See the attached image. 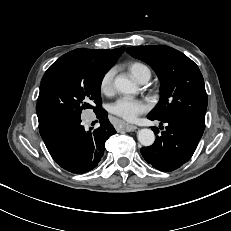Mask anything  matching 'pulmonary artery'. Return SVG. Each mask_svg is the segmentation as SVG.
<instances>
[{"label":"pulmonary artery","mask_w":231,"mask_h":231,"mask_svg":"<svg viewBox=\"0 0 231 231\" xmlns=\"http://www.w3.org/2000/svg\"><path fill=\"white\" fill-rule=\"evenodd\" d=\"M150 79V73L149 72H144L140 75V77L138 78V82L140 84H146Z\"/></svg>","instance_id":"1"}]
</instances>
